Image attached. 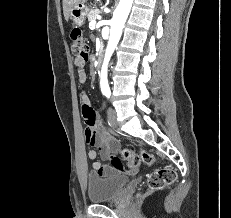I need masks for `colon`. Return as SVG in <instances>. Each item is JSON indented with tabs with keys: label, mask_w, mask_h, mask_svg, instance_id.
Segmentation results:
<instances>
[{
	"label": "colon",
	"mask_w": 231,
	"mask_h": 218,
	"mask_svg": "<svg viewBox=\"0 0 231 218\" xmlns=\"http://www.w3.org/2000/svg\"><path fill=\"white\" fill-rule=\"evenodd\" d=\"M69 37L72 52L78 57L83 56L84 58H88L89 46L82 30L77 27L72 28ZM121 154L131 169L137 168L141 162L148 165L156 162L155 157L146 151H142L138 154L130 149H123ZM121 164L122 163L118 158H114L111 161V165L114 168H119ZM176 177L175 170L168 167H162L148 175L147 185L152 190H158L174 183Z\"/></svg>",
	"instance_id": "obj_1"
}]
</instances>
